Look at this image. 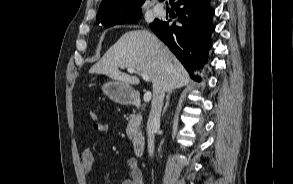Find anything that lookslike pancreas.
<instances>
[{
	"instance_id": "1",
	"label": "pancreas",
	"mask_w": 293,
	"mask_h": 184,
	"mask_svg": "<svg viewBox=\"0 0 293 184\" xmlns=\"http://www.w3.org/2000/svg\"><path fill=\"white\" fill-rule=\"evenodd\" d=\"M142 121V116L140 114H131L129 117V122L127 125L126 133L129 139L140 132V125Z\"/></svg>"
}]
</instances>
